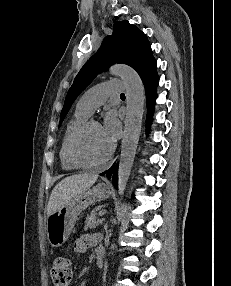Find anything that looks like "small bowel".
I'll return each mask as SVG.
<instances>
[{
  "mask_svg": "<svg viewBox=\"0 0 231 286\" xmlns=\"http://www.w3.org/2000/svg\"><path fill=\"white\" fill-rule=\"evenodd\" d=\"M100 237L94 234H84L74 243V250L78 254L85 253L90 247L95 246L99 242Z\"/></svg>",
  "mask_w": 231,
  "mask_h": 286,
  "instance_id": "small-bowel-1",
  "label": "small bowel"
}]
</instances>
